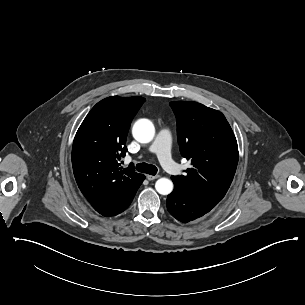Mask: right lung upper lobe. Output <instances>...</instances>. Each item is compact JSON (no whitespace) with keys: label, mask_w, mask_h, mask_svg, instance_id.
Segmentation results:
<instances>
[{"label":"right lung upper lobe","mask_w":305,"mask_h":305,"mask_svg":"<svg viewBox=\"0 0 305 305\" xmlns=\"http://www.w3.org/2000/svg\"><path fill=\"white\" fill-rule=\"evenodd\" d=\"M144 98L112 96L88 113L74 138L73 172L83 195L96 211L136 189L144 175L122 168L118 161L127 152L128 129Z\"/></svg>","instance_id":"obj_1"}]
</instances>
